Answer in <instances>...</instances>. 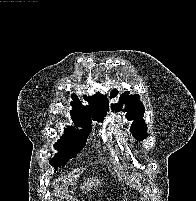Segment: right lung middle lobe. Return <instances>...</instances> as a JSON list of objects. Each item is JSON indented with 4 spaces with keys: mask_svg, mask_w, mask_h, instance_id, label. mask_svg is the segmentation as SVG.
<instances>
[{
    "mask_svg": "<svg viewBox=\"0 0 196 201\" xmlns=\"http://www.w3.org/2000/svg\"><path fill=\"white\" fill-rule=\"evenodd\" d=\"M71 117L74 124L77 127L81 126L83 129L79 130L68 126L65 129L64 136L55 143L54 147L59 152L49 162L53 167H55V171L58 167L65 165L69 159L77 156L85 146L88 135L91 132V118L79 115H71ZM93 120L101 122L103 118H93Z\"/></svg>",
    "mask_w": 196,
    "mask_h": 201,
    "instance_id": "right-lung-middle-lobe-1",
    "label": "right lung middle lobe"
}]
</instances>
